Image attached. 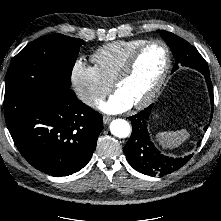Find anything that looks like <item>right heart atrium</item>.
I'll return each instance as SVG.
<instances>
[{"instance_id":"right-heart-atrium-1","label":"right heart atrium","mask_w":221,"mask_h":221,"mask_svg":"<svg viewBox=\"0 0 221 221\" xmlns=\"http://www.w3.org/2000/svg\"><path fill=\"white\" fill-rule=\"evenodd\" d=\"M71 84L78 98L89 106L96 105L111 90V83L96 66L77 60L71 70Z\"/></svg>"}]
</instances>
